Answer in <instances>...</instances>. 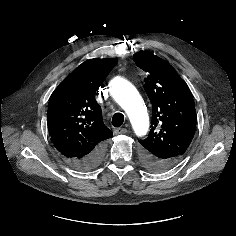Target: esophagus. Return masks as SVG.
I'll list each match as a JSON object with an SVG mask.
<instances>
[{"instance_id":"obj_1","label":"esophagus","mask_w":236,"mask_h":236,"mask_svg":"<svg viewBox=\"0 0 236 236\" xmlns=\"http://www.w3.org/2000/svg\"><path fill=\"white\" fill-rule=\"evenodd\" d=\"M127 132V129L125 128H116L114 129V134L118 135V134H125Z\"/></svg>"}]
</instances>
